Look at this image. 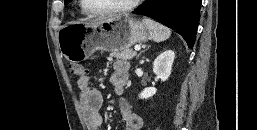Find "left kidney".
Listing matches in <instances>:
<instances>
[{
	"label": "left kidney",
	"instance_id": "5707ae66",
	"mask_svg": "<svg viewBox=\"0 0 257 130\" xmlns=\"http://www.w3.org/2000/svg\"><path fill=\"white\" fill-rule=\"evenodd\" d=\"M175 53L172 50H166L161 53L153 63V72L161 82L166 81L172 70ZM157 89L155 87L145 88L139 95L141 99H148L156 94Z\"/></svg>",
	"mask_w": 257,
	"mask_h": 130
}]
</instances>
